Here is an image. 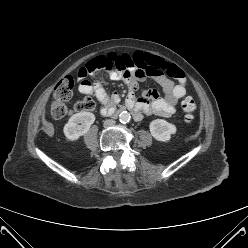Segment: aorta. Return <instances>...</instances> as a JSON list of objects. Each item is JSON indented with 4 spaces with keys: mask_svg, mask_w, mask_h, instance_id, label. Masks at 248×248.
Segmentation results:
<instances>
[{
    "mask_svg": "<svg viewBox=\"0 0 248 248\" xmlns=\"http://www.w3.org/2000/svg\"><path fill=\"white\" fill-rule=\"evenodd\" d=\"M119 120L121 123H127L130 120V114L127 111H123L119 115Z\"/></svg>",
    "mask_w": 248,
    "mask_h": 248,
    "instance_id": "1",
    "label": "aorta"
}]
</instances>
